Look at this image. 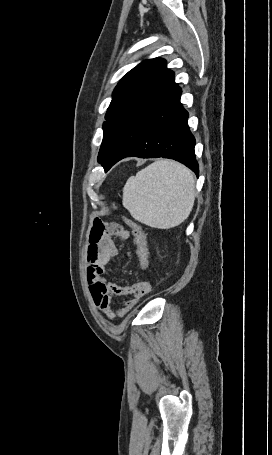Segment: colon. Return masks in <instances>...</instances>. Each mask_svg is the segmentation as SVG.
<instances>
[{"mask_svg": "<svg viewBox=\"0 0 272 455\" xmlns=\"http://www.w3.org/2000/svg\"><path fill=\"white\" fill-rule=\"evenodd\" d=\"M125 221L131 228V231L134 236V242L136 244V254L139 261V268L144 274H146L149 270V250L147 245L146 234L140 223L127 218L125 219Z\"/></svg>", "mask_w": 272, "mask_h": 455, "instance_id": "obj_1", "label": "colon"}]
</instances>
